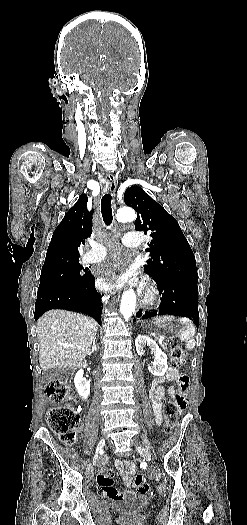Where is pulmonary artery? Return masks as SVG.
<instances>
[{
	"mask_svg": "<svg viewBox=\"0 0 247 525\" xmlns=\"http://www.w3.org/2000/svg\"><path fill=\"white\" fill-rule=\"evenodd\" d=\"M144 236H123L122 243L128 248H138L144 244ZM97 251L94 248L89 249L86 252L80 261H97L101 262L103 260L102 254H107V251H102L100 247H97ZM97 254V256H96Z\"/></svg>",
	"mask_w": 247,
	"mask_h": 525,
	"instance_id": "pulmonary-artery-1",
	"label": "pulmonary artery"
}]
</instances>
